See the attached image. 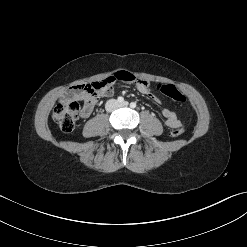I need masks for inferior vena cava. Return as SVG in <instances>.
Returning <instances> with one entry per match:
<instances>
[{
	"label": "inferior vena cava",
	"mask_w": 247,
	"mask_h": 247,
	"mask_svg": "<svg viewBox=\"0 0 247 247\" xmlns=\"http://www.w3.org/2000/svg\"><path fill=\"white\" fill-rule=\"evenodd\" d=\"M107 110H109L108 106H106Z\"/></svg>",
	"instance_id": "602c4592"
}]
</instances>
